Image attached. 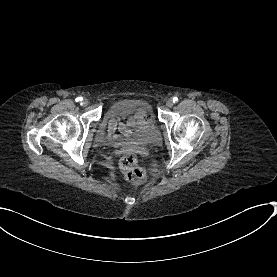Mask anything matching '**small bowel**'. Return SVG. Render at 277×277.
Returning a JSON list of instances; mask_svg holds the SVG:
<instances>
[{
    "label": "small bowel",
    "mask_w": 277,
    "mask_h": 277,
    "mask_svg": "<svg viewBox=\"0 0 277 277\" xmlns=\"http://www.w3.org/2000/svg\"><path fill=\"white\" fill-rule=\"evenodd\" d=\"M119 121L117 119H111L108 124L109 132L112 133L118 126ZM152 125L146 119L145 114L140 113L136 115L134 118L129 119L126 124L122 125V129H127L131 127H139V128H150Z\"/></svg>",
    "instance_id": "small-bowel-1"
}]
</instances>
